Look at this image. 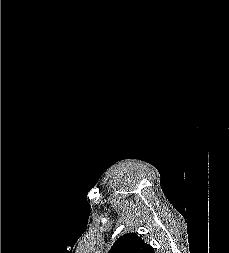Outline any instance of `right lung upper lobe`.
I'll return each instance as SVG.
<instances>
[{"label": "right lung upper lobe", "mask_w": 229, "mask_h": 253, "mask_svg": "<svg viewBox=\"0 0 229 253\" xmlns=\"http://www.w3.org/2000/svg\"><path fill=\"white\" fill-rule=\"evenodd\" d=\"M109 253H154V249L145 244L136 233H128L113 244Z\"/></svg>", "instance_id": "1"}]
</instances>
